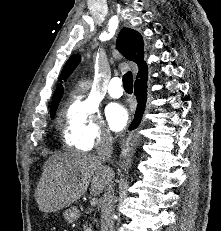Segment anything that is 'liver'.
Instances as JSON below:
<instances>
[{"mask_svg":"<svg viewBox=\"0 0 221 231\" xmlns=\"http://www.w3.org/2000/svg\"><path fill=\"white\" fill-rule=\"evenodd\" d=\"M90 185L94 196L107 186V172L93 154L66 151L48 161L35 191L42 212H57L69 207L85 194Z\"/></svg>","mask_w":221,"mask_h":231,"instance_id":"6515ba94","label":"liver"}]
</instances>
